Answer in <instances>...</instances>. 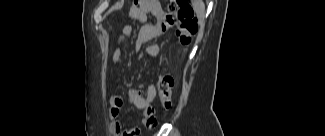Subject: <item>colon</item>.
<instances>
[{
    "label": "colon",
    "instance_id": "obj_1",
    "mask_svg": "<svg viewBox=\"0 0 325 136\" xmlns=\"http://www.w3.org/2000/svg\"><path fill=\"white\" fill-rule=\"evenodd\" d=\"M138 3V0L135 1ZM169 15L166 22L169 26L175 27V34L182 45H187L191 37L198 30L194 10L188 0H169ZM173 78L165 73H160L157 82V89L161 104L169 108L172 104Z\"/></svg>",
    "mask_w": 325,
    "mask_h": 136
}]
</instances>
